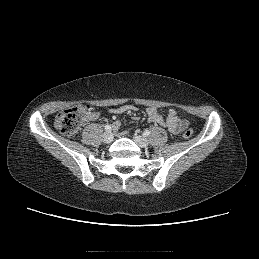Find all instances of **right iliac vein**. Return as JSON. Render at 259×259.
Returning <instances> with one entry per match:
<instances>
[{"instance_id": "63e3f726", "label": "right iliac vein", "mask_w": 259, "mask_h": 259, "mask_svg": "<svg viewBox=\"0 0 259 259\" xmlns=\"http://www.w3.org/2000/svg\"><path fill=\"white\" fill-rule=\"evenodd\" d=\"M113 140V134L111 131H106L104 134H103V141L105 143H111Z\"/></svg>"}]
</instances>
